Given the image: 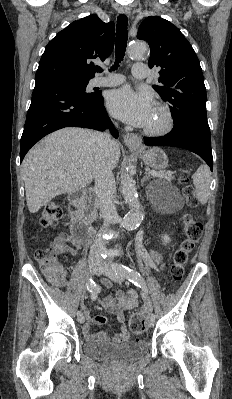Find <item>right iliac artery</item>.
Segmentation results:
<instances>
[{
    "mask_svg": "<svg viewBox=\"0 0 232 399\" xmlns=\"http://www.w3.org/2000/svg\"><path fill=\"white\" fill-rule=\"evenodd\" d=\"M86 287H87V290L89 291V293L91 294V297H92V298L97 297V292H96L97 284H96L93 280H90V281L86 284ZM76 315H77V316H82V312H81L80 310H78V311L76 312Z\"/></svg>",
    "mask_w": 232,
    "mask_h": 399,
    "instance_id": "82829eb1",
    "label": "right iliac artery"
}]
</instances>
